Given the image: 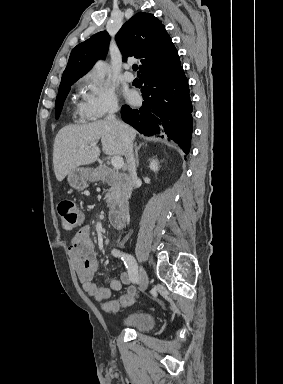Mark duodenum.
Wrapping results in <instances>:
<instances>
[{"instance_id": "1", "label": "duodenum", "mask_w": 283, "mask_h": 384, "mask_svg": "<svg viewBox=\"0 0 283 384\" xmlns=\"http://www.w3.org/2000/svg\"><path fill=\"white\" fill-rule=\"evenodd\" d=\"M95 176L98 180L109 181L114 184L120 185L123 188V195L127 199L130 195L132 180L131 177L126 173H116L107 166H100L95 169ZM127 203L118 205L109 215L112 225L116 229L124 227L127 221L128 213Z\"/></svg>"}]
</instances>
